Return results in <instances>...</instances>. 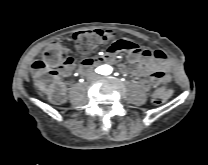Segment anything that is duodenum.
I'll use <instances>...</instances> for the list:
<instances>
[{
    "mask_svg": "<svg viewBox=\"0 0 208 165\" xmlns=\"http://www.w3.org/2000/svg\"><path fill=\"white\" fill-rule=\"evenodd\" d=\"M88 67H82V70L87 69Z\"/></svg>",
    "mask_w": 208,
    "mask_h": 165,
    "instance_id": "obj_1",
    "label": "duodenum"
}]
</instances>
